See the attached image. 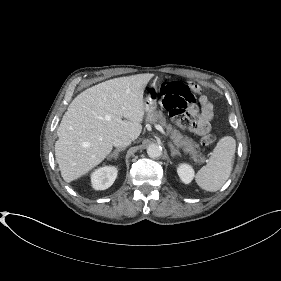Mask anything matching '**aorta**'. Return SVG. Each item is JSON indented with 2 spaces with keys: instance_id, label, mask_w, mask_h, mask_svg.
I'll use <instances>...</instances> for the list:
<instances>
[{
  "instance_id": "1",
  "label": "aorta",
  "mask_w": 281,
  "mask_h": 281,
  "mask_svg": "<svg viewBox=\"0 0 281 281\" xmlns=\"http://www.w3.org/2000/svg\"><path fill=\"white\" fill-rule=\"evenodd\" d=\"M147 154L151 158H158L162 155V147L157 144H151L147 148Z\"/></svg>"
}]
</instances>
